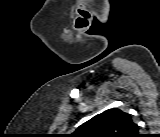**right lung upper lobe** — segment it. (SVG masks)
I'll return each mask as SVG.
<instances>
[{
    "label": "right lung upper lobe",
    "instance_id": "right-lung-upper-lobe-1",
    "mask_svg": "<svg viewBox=\"0 0 160 137\" xmlns=\"http://www.w3.org/2000/svg\"><path fill=\"white\" fill-rule=\"evenodd\" d=\"M139 126L128 113L109 109L79 126L73 133L77 137H137Z\"/></svg>",
    "mask_w": 160,
    "mask_h": 137
}]
</instances>
